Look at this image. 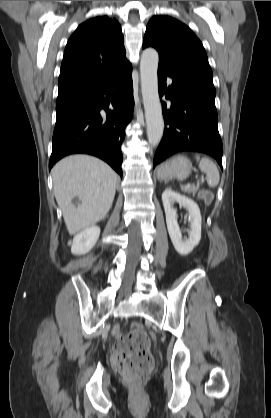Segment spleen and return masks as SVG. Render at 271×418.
I'll use <instances>...</instances> for the list:
<instances>
[{
	"label": "spleen",
	"instance_id": "spleen-1",
	"mask_svg": "<svg viewBox=\"0 0 271 418\" xmlns=\"http://www.w3.org/2000/svg\"><path fill=\"white\" fill-rule=\"evenodd\" d=\"M195 157L196 160L199 162L200 170L207 175L208 185L210 187L217 186L220 180V175L215 163L209 158H200L199 155H196Z\"/></svg>",
	"mask_w": 271,
	"mask_h": 418
}]
</instances>
